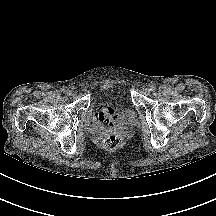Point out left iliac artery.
Masks as SVG:
<instances>
[{"instance_id":"left-iliac-artery-1","label":"left iliac artery","mask_w":216,"mask_h":216,"mask_svg":"<svg viewBox=\"0 0 216 216\" xmlns=\"http://www.w3.org/2000/svg\"><path fill=\"white\" fill-rule=\"evenodd\" d=\"M150 90L154 91L155 90V86L154 85H150Z\"/></svg>"}]
</instances>
